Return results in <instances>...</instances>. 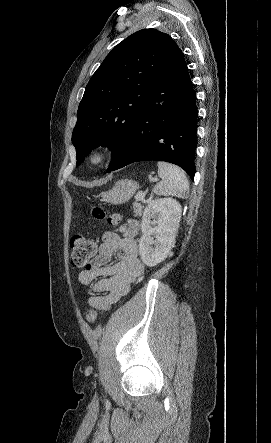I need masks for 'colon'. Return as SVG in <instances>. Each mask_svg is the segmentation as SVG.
<instances>
[{
	"label": "colon",
	"instance_id": "1",
	"mask_svg": "<svg viewBox=\"0 0 271 443\" xmlns=\"http://www.w3.org/2000/svg\"><path fill=\"white\" fill-rule=\"evenodd\" d=\"M93 218L97 220H107L109 224L119 225L121 222L120 214L108 215L107 212L101 207H93L90 210ZM71 263L75 267H83L89 263V260L95 255L97 247L93 240L86 238L83 235L77 234L71 238ZM97 311L93 308L87 312V320L90 323L97 321Z\"/></svg>",
	"mask_w": 271,
	"mask_h": 443
}]
</instances>
